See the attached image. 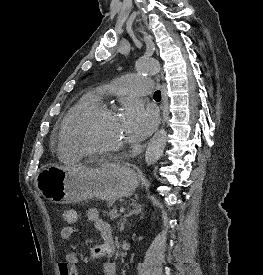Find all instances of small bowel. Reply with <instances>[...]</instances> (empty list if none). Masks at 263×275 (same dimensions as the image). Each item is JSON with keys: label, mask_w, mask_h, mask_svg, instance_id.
Listing matches in <instances>:
<instances>
[{"label": "small bowel", "mask_w": 263, "mask_h": 275, "mask_svg": "<svg viewBox=\"0 0 263 275\" xmlns=\"http://www.w3.org/2000/svg\"><path fill=\"white\" fill-rule=\"evenodd\" d=\"M86 217L94 224L95 229L102 237V242L92 249L91 257L93 259L111 258L114 253V242L110 224L101 218L100 213L96 208L88 209L86 212ZM76 231V224L67 225L62 228L60 235L63 239H69L76 233ZM78 263L79 258L77 253L75 251L68 252L64 260L59 263L60 274L79 275L77 267ZM103 273L104 275H117L116 264L110 260L104 262Z\"/></svg>", "instance_id": "small-bowel-1"}]
</instances>
